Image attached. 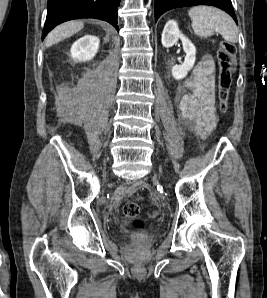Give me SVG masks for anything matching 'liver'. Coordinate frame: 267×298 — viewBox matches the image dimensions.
Returning <instances> with one entry per match:
<instances>
[{
    "label": "liver",
    "mask_w": 267,
    "mask_h": 298,
    "mask_svg": "<svg viewBox=\"0 0 267 298\" xmlns=\"http://www.w3.org/2000/svg\"><path fill=\"white\" fill-rule=\"evenodd\" d=\"M84 23L81 21H69L57 26L47 36L46 47H50L83 29Z\"/></svg>",
    "instance_id": "1"
}]
</instances>
